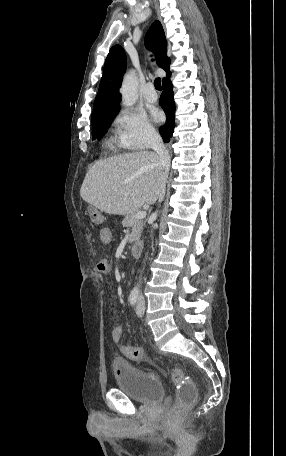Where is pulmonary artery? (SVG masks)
<instances>
[{
    "instance_id": "obj_1",
    "label": "pulmonary artery",
    "mask_w": 286,
    "mask_h": 456,
    "mask_svg": "<svg viewBox=\"0 0 286 456\" xmlns=\"http://www.w3.org/2000/svg\"><path fill=\"white\" fill-rule=\"evenodd\" d=\"M143 96L147 102H156L157 101V93L154 89L152 83H147L143 90Z\"/></svg>"
}]
</instances>
